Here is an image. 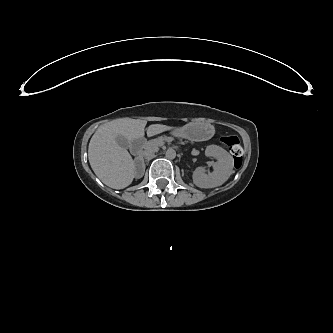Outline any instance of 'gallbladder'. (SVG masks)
<instances>
[{
	"mask_svg": "<svg viewBox=\"0 0 333 333\" xmlns=\"http://www.w3.org/2000/svg\"><path fill=\"white\" fill-rule=\"evenodd\" d=\"M118 142H119L120 146H122L124 149L132 150V148H133V143L129 140L120 139Z\"/></svg>",
	"mask_w": 333,
	"mask_h": 333,
	"instance_id": "gallbladder-1",
	"label": "gallbladder"
}]
</instances>
